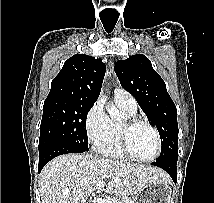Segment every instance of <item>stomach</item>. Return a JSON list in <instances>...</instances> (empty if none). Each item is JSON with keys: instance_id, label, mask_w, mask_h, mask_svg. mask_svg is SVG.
Instances as JSON below:
<instances>
[{"instance_id": "obj_1", "label": "stomach", "mask_w": 214, "mask_h": 203, "mask_svg": "<svg viewBox=\"0 0 214 203\" xmlns=\"http://www.w3.org/2000/svg\"><path fill=\"white\" fill-rule=\"evenodd\" d=\"M135 203H172V189L166 180H153L137 194Z\"/></svg>"}]
</instances>
